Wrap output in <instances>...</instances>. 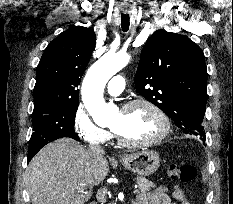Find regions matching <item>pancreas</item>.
Listing matches in <instances>:
<instances>
[{
	"instance_id": "1",
	"label": "pancreas",
	"mask_w": 233,
	"mask_h": 204,
	"mask_svg": "<svg viewBox=\"0 0 233 204\" xmlns=\"http://www.w3.org/2000/svg\"><path fill=\"white\" fill-rule=\"evenodd\" d=\"M136 183L138 184V192L146 193L150 191L151 188L155 187V184L150 180L142 176L136 177Z\"/></svg>"
}]
</instances>
